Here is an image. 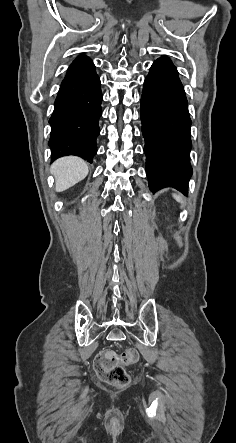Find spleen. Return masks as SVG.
<instances>
[{"instance_id":"1","label":"spleen","mask_w":236,"mask_h":443,"mask_svg":"<svg viewBox=\"0 0 236 443\" xmlns=\"http://www.w3.org/2000/svg\"><path fill=\"white\" fill-rule=\"evenodd\" d=\"M173 198H174L177 202H179V203H181V204H184V200H183V198H182V196H181L180 194H176V193H174V194H173Z\"/></svg>"}]
</instances>
